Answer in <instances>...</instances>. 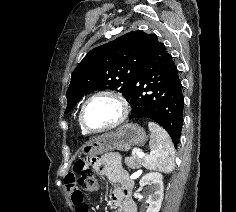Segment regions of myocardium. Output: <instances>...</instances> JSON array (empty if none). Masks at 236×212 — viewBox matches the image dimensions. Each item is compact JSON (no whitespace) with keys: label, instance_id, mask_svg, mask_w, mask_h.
<instances>
[{"label":"myocardium","instance_id":"obj_1","mask_svg":"<svg viewBox=\"0 0 236 212\" xmlns=\"http://www.w3.org/2000/svg\"><path fill=\"white\" fill-rule=\"evenodd\" d=\"M101 97H106V98L112 99L119 107V114L113 122L107 124L106 126L99 128V129H90L89 127L86 126V124L84 122L85 109L91 101H93L97 98H101ZM128 113H129V104H128L127 100L124 98V96H122L120 93H118L114 90L103 89V90H99V91H96L95 93L91 94L83 102V104L80 108V112H79V123H80L82 130L85 133H88V134L103 133V132H107V131H110V130H113V129L119 127L126 120Z\"/></svg>","mask_w":236,"mask_h":212}]
</instances>
